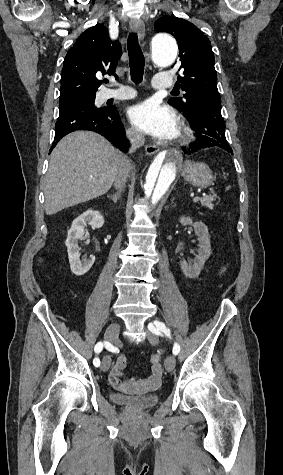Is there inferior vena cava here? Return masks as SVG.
Listing matches in <instances>:
<instances>
[{"label": "inferior vena cava", "mask_w": 283, "mask_h": 475, "mask_svg": "<svg viewBox=\"0 0 283 475\" xmlns=\"http://www.w3.org/2000/svg\"><path fill=\"white\" fill-rule=\"evenodd\" d=\"M127 138L131 144L129 148V154H133L137 148L144 146L145 138L141 132H136V130H133V132H128ZM130 162L131 160H127L126 156H123L119 164L116 166L114 186L116 190H119V192H123L124 186L126 184V178H128L129 172H131V170L134 168Z\"/></svg>", "instance_id": "602c4592"}]
</instances>
